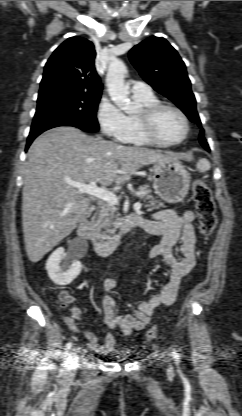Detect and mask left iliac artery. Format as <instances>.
Returning a JSON list of instances; mask_svg holds the SVG:
<instances>
[{
    "instance_id": "left-iliac-artery-1",
    "label": "left iliac artery",
    "mask_w": 242,
    "mask_h": 416,
    "mask_svg": "<svg viewBox=\"0 0 242 416\" xmlns=\"http://www.w3.org/2000/svg\"><path fill=\"white\" fill-rule=\"evenodd\" d=\"M173 357L178 360L179 359V354L177 353L176 350H173Z\"/></svg>"
}]
</instances>
